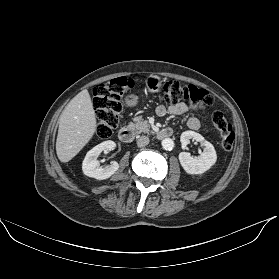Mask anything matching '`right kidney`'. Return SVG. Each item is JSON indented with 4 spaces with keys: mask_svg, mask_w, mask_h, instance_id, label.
Instances as JSON below:
<instances>
[{
    "mask_svg": "<svg viewBox=\"0 0 279 279\" xmlns=\"http://www.w3.org/2000/svg\"><path fill=\"white\" fill-rule=\"evenodd\" d=\"M115 146V142L108 140L98 144L88 151L82 163L83 173L86 176L97 180H105L111 177L118 170L119 164L114 161L111 165L102 167L97 158L103 151L114 150Z\"/></svg>",
    "mask_w": 279,
    "mask_h": 279,
    "instance_id": "ca27d5eb",
    "label": "right kidney"
}]
</instances>
